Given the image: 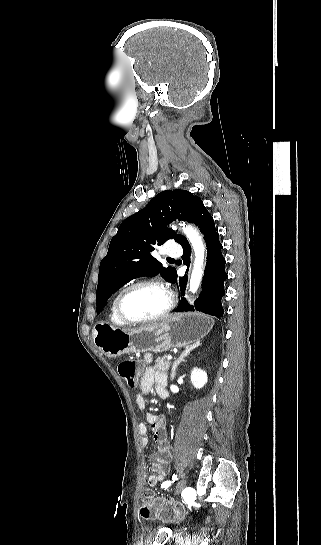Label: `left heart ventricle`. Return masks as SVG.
Listing matches in <instances>:
<instances>
[{
    "instance_id": "b2bd125f",
    "label": "left heart ventricle",
    "mask_w": 321,
    "mask_h": 545,
    "mask_svg": "<svg viewBox=\"0 0 321 545\" xmlns=\"http://www.w3.org/2000/svg\"><path fill=\"white\" fill-rule=\"evenodd\" d=\"M168 305L166 294L151 288H137L127 292L122 299L124 315L133 321L156 316Z\"/></svg>"
}]
</instances>
